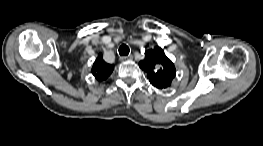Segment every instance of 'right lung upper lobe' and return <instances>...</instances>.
<instances>
[{"label":"right lung upper lobe","instance_id":"obj_1","mask_svg":"<svg viewBox=\"0 0 263 146\" xmlns=\"http://www.w3.org/2000/svg\"><path fill=\"white\" fill-rule=\"evenodd\" d=\"M114 65H110L103 60L102 54H99L96 58L93 67L92 74L98 81H103L112 73Z\"/></svg>","mask_w":263,"mask_h":146}]
</instances>
